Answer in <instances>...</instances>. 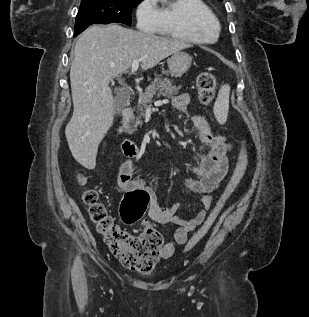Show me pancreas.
<instances>
[{
	"label": "pancreas",
	"mask_w": 309,
	"mask_h": 317,
	"mask_svg": "<svg viewBox=\"0 0 309 317\" xmlns=\"http://www.w3.org/2000/svg\"><path fill=\"white\" fill-rule=\"evenodd\" d=\"M180 89L181 86L177 87L176 85H173V82L169 79H155L152 81L145 92L139 95L137 105L138 116H133L132 121L134 122V125L127 128L128 132L133 133L137 130V126L141 124V118L145 115V109L152 102L155 95H157V97L164 96L171 98L174 94L178 93Z\"/></svg>",
	"instance_id": "1"
}]
</instances>
